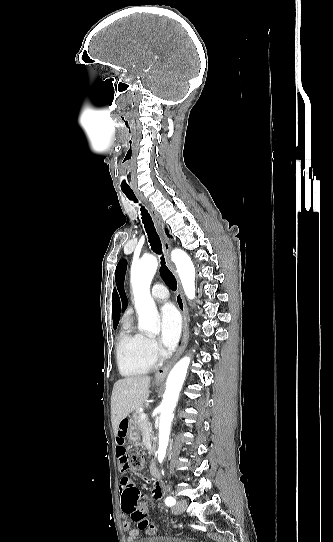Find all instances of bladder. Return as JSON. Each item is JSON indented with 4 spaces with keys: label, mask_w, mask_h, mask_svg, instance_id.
I'll list each match as a JSON object with an SVG mask.
<instances>
[{
    "label": "bladder",
    "mask_w": 333,
    "mask_h": 542,
    "mask_svg": "<svg viewBox=\"0 0 333 542\" xmlns=\"http://www.w3.org/2000/svg\"><path fill=\"white\" fill-rule=\"evenodd\" d=\"M144 538V540H141L139 542H191L189 540L168 535H149Z\"/></svg>",
    "instance_id": "bladder-1"
}]
</instances>
